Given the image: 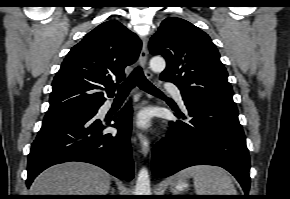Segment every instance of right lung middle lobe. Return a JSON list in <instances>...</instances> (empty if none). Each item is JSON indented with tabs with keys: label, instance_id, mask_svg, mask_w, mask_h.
I'll list each match as a JSON object with an SVG mask.
<instances>
[{
	"label": "right lung middle lobe",
	"instance_id": "right-lung-middle-lobe-1",
	"mask_svg": "<svg viewBox=\"0 0 290 199\" xmlns=\"http://www.w3.org/2000/svg\"><path fill=\"white\" fill-rule=\"evenodd\" d=\"M98 108H99L98 106H95V107H89V108H85V109H81V110H77V111H73V112L65 113V114H61V115L46 116L44 118V120L50 119V118H64V117L84 115V114H88V113H92V112H97Z\"/></svg>",
	"mask_w": 290,
	"mask_h": 199
}]
</instances>
